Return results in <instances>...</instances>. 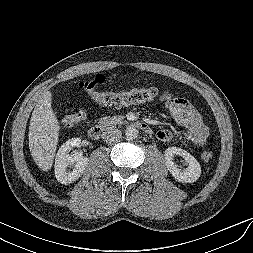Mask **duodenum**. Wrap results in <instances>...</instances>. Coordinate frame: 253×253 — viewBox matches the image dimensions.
Instances as JSON below:
<instances>
[{"label": "duodenum", "instance_id": "duodenum-1", "mask_svg": "<svg viewBox=\"0 0 253 253\" xmlns=\"http://www.w3.org/2000/svg\"><path fill=\"white\" fill-rule=\"evenodd\" d=\"M130 125L136 127L142 132L150 135L153 133L152 128L145 122L142 121H132ZM108 127L104 124H95L89 129V136L94 140H99L104 137L107 133Z\"/></svg>", "mask_w": 253, "mask_h": 253}]
</instances>
